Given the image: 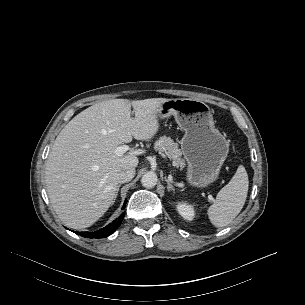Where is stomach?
<instances>
[{"label": "stomach", "instance_id": "1", "mask_svg": "<svg viewBox=\"0 0 305 305\" xmlns=\"http://www.w3.org/2000/svg\"><path fill=\"white\" fill-rule=\"evenodd\" d=\"M171 115L185 132L180 144L187 161L188 184L194 187L212 184L228 155L229 144L215 128L209 106L196 99H168L161 104L158 118Z\"/></svg>", "mask_w": 305, "mask_h": 305}]
</instances>
